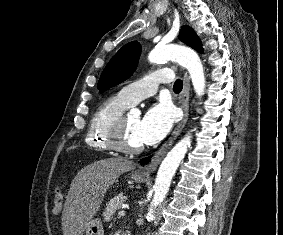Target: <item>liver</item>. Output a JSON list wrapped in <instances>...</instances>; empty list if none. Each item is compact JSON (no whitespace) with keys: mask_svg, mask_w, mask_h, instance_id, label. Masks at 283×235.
<instances>
[{"mask_svg":"<svg viewBox=\"0 0 283 235\" xmlns=\"http://www.w3.org/2000/svg\"><path fill=\"white\" fill-rule=\"evenodd\" d=\"M134 162L124 158L103 159L82 168L74 177L62 213L64 235H83L96 215L105 194L123 173L133 170Z\"/></svg>","mask_w":283,"mask_h":235,"instance_id":"liver-1","label":"liver"}]
</instances>
